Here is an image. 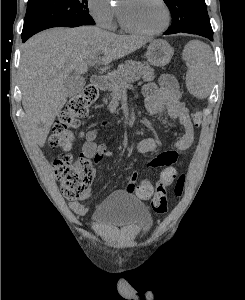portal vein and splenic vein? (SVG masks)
Segmentation results:
<instances>
[{
    "label": "portal vein and splenic vein",
    "instance_id": "18ae733b",
    "mask_svg": "<svg viewBox=\"0 0 245 300\" xmlns=\"http://www.w3.org/2000/svg\"><path fill=\"white\" fill-rule=\"evenodd\" d=\"M98 60V56L89 61V65H94Z\"/></svg>",
    "mask_w": 245,
    "mask_h": 300
}]
</instances>
